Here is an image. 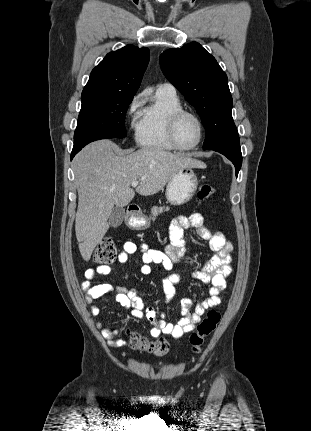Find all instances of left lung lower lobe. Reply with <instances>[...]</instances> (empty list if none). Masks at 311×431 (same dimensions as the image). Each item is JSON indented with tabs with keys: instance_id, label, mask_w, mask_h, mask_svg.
I'll list each match as a JSON object with an SVG mask.
<instances>
[{
	"instance_id": "1",
	"label": "left lung lower lobe",
	"mask_w": 311,
	"mask_h": 431,
	"mask_svg": "<svg viewBox=\"0 0 311 431\" xmlns=\"http://www.w3.org/2000/svg\"><path fill=\"white\" fill-rule=\"evenodd\" d=\"M226 156L235 166L236 176L242 165V154L240 145H228L212 149Z\"/></svg>"
}]
</instances>
